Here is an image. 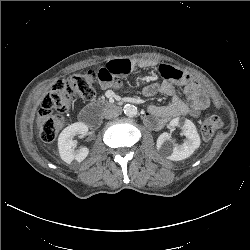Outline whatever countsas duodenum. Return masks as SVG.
I'll return each instance as SVG.
<instances>
[{
	"mask_svg": "<svg viewBox=\"0 0 250 250\" xmlns=\"http://www.w3.org/2000/svg\"><path fill=\"white\" fill-rule=\"evenodd\" d=\"M119 109L120 106L116 103L98 101L82 110L80 120L90 128H96L105 112L117 111Z\"/></svg>",
	"mask_w": 250,
	"mask_h": 250,
	"instance_id": "410a0bca",
	"label": "duodenum"
}]
</instances>
